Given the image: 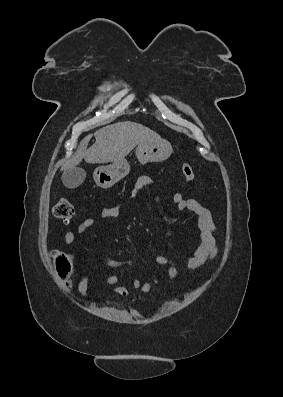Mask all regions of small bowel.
<instances>
[{
  "label": "small bowel",
  "instance_id": "obj_1",
  "mask_svg": "<svg viewBox=\"0 0 283 397\" xmlns=\"http://www.w3.org/2000/svg\"><path fill=\"white\" fill-rule=\"evenodd\" d=\"M153 180L149 176H140L131 191L135 195L140 189L152 185ZM173 201L180 211H190L197 218V227L199 229V242L195 247L191 257L187 262V267L190 271L196 270L209 262H211L217 255L218 248L214 237L216 230L215 222L210 211L200 204L195 199H185L179 192L173 193ZM155 206L158 214L167 222H173L175 219L167 214L158 199H155ZM122 205L117 203L113 206L102 209L96 216L88 217L77 227L76 231H69L65 234L64 241L67 245H72L76 238L85 233L97 219H116L120 216ZM155 262L158 265H168L166 276L169 279H174L177 274L176 262L166 256H157ZM105 266L108 268H119L128 265V261L108 259L105 261ZM90 277H83L78 283V291L83 297L88 296V289L90 284ZM104 282L107 285L113 286V290L121 295L126 296L128 289L120 284V279L115 275H110L105 278ZM158 283L157 279H153L146 283H142L139 279L132 281V287L141 289L144 293H151L154 286ZM100 302L106 305H118V301L109 298H101Z\"/></svg>",
  "mask_w": 283,
  "mask_h": 397
}]
</instances>
